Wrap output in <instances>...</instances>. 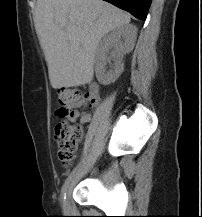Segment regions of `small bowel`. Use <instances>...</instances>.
Returning a JSON list of instances; mask_svg holds the SVG:
<instances>
[{
  "label": "small bowel",
  "mask_w": 202,
  "mask_h": 217,
  "mask_svg": "<svg viewBox=\"0 0 202 217\" xmlns=\"http://www.w3.org/2000/svg\"><path fill=\"white\" fill-rule=\"evenodd\" d=\"M88 104L91 108L96 107V105L98 104L99 101V96L98 93H92L90 92L88 95ZM86 107V104H79L77 106H75L72 110L71 113V120H76V119H80L81 123H86L88 121H90L91 119V112L90 111H85L83 110Z\"/></svg>",
  "instance_id": "obj_1"
}]
</instances>
